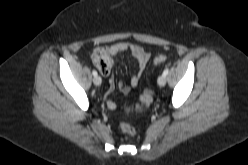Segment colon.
<instances>
[{"label": "colon", "mask_w": 248, "mask_h": 165, "mask_svg": "<svg viewBox=\"0 0 248 165\" xmlns=\"http://www.w3.org/2000/svg\"><path fill=\"white\" fill-rule=\"evenodd\" d=\"M92 60L95 67L101 72L108 70L112 65L111 55L106 47H101L94 50L92 53ZM165 61H166V56L160 54L155 57L154 64L159 65L164 63ZM151 102H152V92L148 89H145L140 96V100L137 107L138 109L141 110L146 109L151 104ZM120 128L124 133L128 135L133 136L136 134L135 127L130 123L122 122L120 124Z\"/></svg>", "instance_id": "5ec220e1"}]
</instances>
